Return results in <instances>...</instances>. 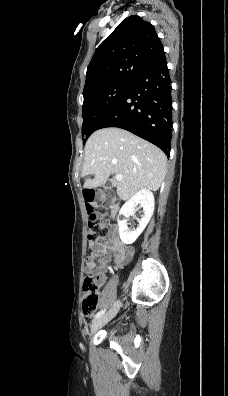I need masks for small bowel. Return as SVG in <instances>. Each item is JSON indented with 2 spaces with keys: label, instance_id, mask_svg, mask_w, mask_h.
I'll return each instance as SVG.
<instances>
[{
  "label": "small bowel",
  "instance_id": "c3829d8e",
  "mask_svg": "<svg viewBox=\"0 0 228 396\" xmlns=\"http://www.w3.org/2000/svg\"><path fill=\"white\" fill-rule=\"evenodd\" d=\"M90 248L91 253L86 258L85 270L89 274L96 275L99 283L104 282L103 270L110 260L109 254L116 253L118 262L123 263L133 253L131 247L124 245L118 239L115 228L110 231L108 240L102 239L99 243H90Z\"/></svg>",
  "mask_w": 228,
  "mask_h": 396
}]
</instances>
